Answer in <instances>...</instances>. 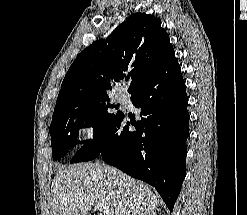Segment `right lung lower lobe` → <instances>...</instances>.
Masks as SVG:
<instances>
[{"label": "right lung lower lobe", "mask_w": 247, "mask_h": 215, "mask_svg": "<svg viewBox=\"0 0 247 215\" xmlns=\"http://www.w3.org/2000/svg\"><path fill=\"white\" fill-rule=\"evenodd\" d=\"M130 94L132 103L141 108L140 120L129 122L122 113L70 163L101 156L106 163L152 185L172 211L186 175L189 136L188 98L173 49ZM130 124L134 131L129 130Z\"/></svg>", "instance_id": "98d812e1"}]
</instances>
